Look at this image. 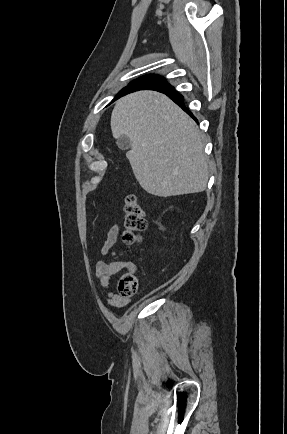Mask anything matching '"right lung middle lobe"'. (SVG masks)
Here are the masks:
<instances>
[{"label":"right lung middle lobe","mask_w":287,"mask_h":434,"mask_svg":"<svg viewBox=\"0 0 287 434\" xmlns=\"http://www.w3.org/2000/svg\"><path fill=\"white\" fill-rule=\"evenodd\" d=\"M166 82L164 78L160 77L159 75H146L142 76L134 81H132L127 87L122 89L116 98L121 97L123 95V92H125L127 89L132 87H138V86H150V85H156Z\"/></svg>","instance_id":"1"}]
</instances>
